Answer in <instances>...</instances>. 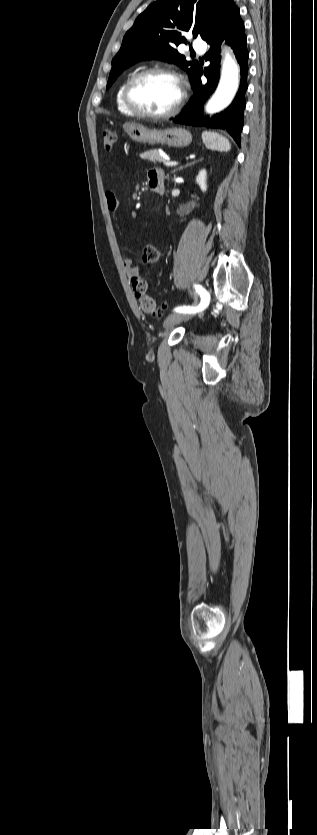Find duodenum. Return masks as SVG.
<instances>
[{
    "label": "duodenum",
    "mask_w": 317,
    "mask_h": 835,
    "mask_svg": "<svg viewBox=\"0 0 317 835\" xmlns=\"http://www.w3.org/2000/svg\"><path fill=\"white\" fill-rule=\"evenodd\" d=\"M150 186H151L152 190L155 191L156 193H158V194L163 193V187L160 184L154 182V183H151Z\"/></svg>",
    "instance_id": "obj_1"
}]
</instances>
